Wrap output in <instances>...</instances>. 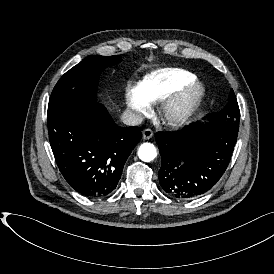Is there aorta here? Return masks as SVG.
I'll return each mask as SVG.
<instances>
[{
  "instance_id": "obj_1",
  "label": "aorta",
  "mask_w": 274,
  "mask_h": 274,
  "mask_svg": "<svg viewBox=\"0 0 274 274\" xmlns=\"http://www.w3.org/2000/svg\"><path fill=\"white\" fill-rule=\"evenodd\" d=\"M138 156L144 162H150L157 156V150L152 143H143L138 149Z\"/></svg>"
}]
</instances>
